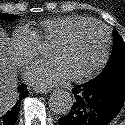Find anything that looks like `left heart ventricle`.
I'll list each match as a JSON object with an SVG mask.
<instances>
[{
    "mask_svg": "<svg viewBox=\"0 0 125 125\" xmlns=\"http://www.w3.org/2000/svg\"><path fill=\"white\" fill-rule=\"evenodd\" d=\"M105 44V35L97 25L79 28L71 38L50 47L49 54L58 58L71 76L84 74L100 60Z\"/></svg>",
    "mask_w": 125,
    "mask_h": 125,
    "instance_id": "1",
    "label": "left heart ventricle"
}]
</instances>
